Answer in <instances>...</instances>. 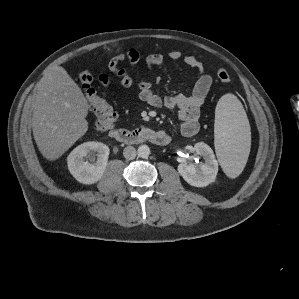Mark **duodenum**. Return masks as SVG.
Masks as SVG:
<instances>
[{"label": "duodenum", "mask_w": 299, "mask_h": 299, "mask_svg": "<svg viewBox=\"0 0 299 299\" xmlns=\"http://www.w3.org/2000/svg\"><path fill=\"white\" fill-rule=\"evenodd\" d=\"M110 136L116 141L124 144H137L152 142L158 145L169 143V136L163 131H155L149 127L135 129L116 128L110 132Z\"/></svg>", "instance_id": "duodenum-1"}]
</instances>
